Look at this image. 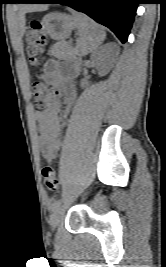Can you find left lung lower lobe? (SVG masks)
Wrapping results in <instances>:
<instances>
[{"instance_id":"left-lung-lower-lobe-1","label":"left lung lower lobe","mask_w":166,"mask_h":267,"mask_svg":"<svg viewBox=\"0 0 166 267\" xmlns=\"http://www.w3.org/2000/svg\"><path fill=\"white\" fill-rule=\"evenodd\" d=\"M25 3H61L108 27L122 43L128 39L138 0H29Z\"/></svg>"}]
</instances>
